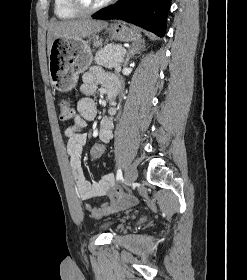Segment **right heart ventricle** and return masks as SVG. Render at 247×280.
Segmentation results:
<instances>
[{
	"label": "right heart ventricle",
	"instance_id": "1",
	"mask_svg": "<svg viewBox=\"0 0 247 280\" xmlns=\"http://www.w3.org/2000/svg\"><path fill=\"white\" fill-rule=\"evenodd\" d=\"M54 13L62 20L73 19L79 15V13L71 7L69 0H54Z\"/></svg>",
	"mask_w": 247,
	"mask_h": 280
}]
</instances>
